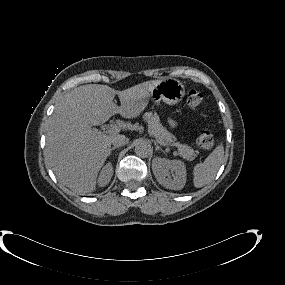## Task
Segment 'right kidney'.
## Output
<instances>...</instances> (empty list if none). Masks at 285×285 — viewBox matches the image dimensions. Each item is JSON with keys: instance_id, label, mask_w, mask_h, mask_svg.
Masks as SVG:
<instances>
[{"instance_id": "right-kidney-1", "label": "right kidney", "mask_w": 285, "mask_h": 285, "mask_svg": "<svg viewBox=\"0 0 285 285\" xmlns=\"http://www.w3.org/2000/svg\"><path fill=\"white\" fill-rule=\"evenodd\" d=\"M113 176V166L111 163H107L101 170L99 178H98V184L101 187L106 186L111 178Z\"/></svg>"}]
</instances>
